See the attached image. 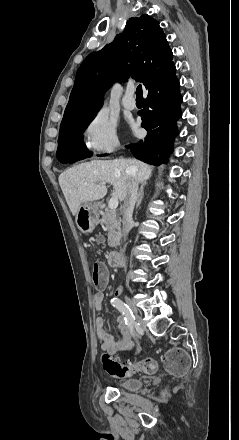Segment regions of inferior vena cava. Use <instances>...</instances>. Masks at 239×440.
Here are the masks:
<instances>
[{
	"label": "inferior vena cava",
	"instance_id": "inferior-vena-cava-1",
	"mask_svg": "<svg viewBox=\"0 0 239 440\" xmlns=\"http://www.w3.org/2000/svg\"><path fill=\"white\" fill-rule=\"evenodd\" d=\"M128 172L130 174V180L127 184V194L123 204V220H122L123 238H126L130 230V224L132 222L133 210H134L135 202L137 200L138 186H139V182L137 178H135L136 176L135 170H133V168H128ZM121 252H124V248L123 250H121Z\"/></svg>",
	"mask_w": 239,
	"mask_h": 440
}]
</instances>
